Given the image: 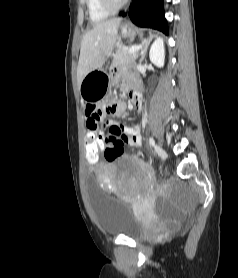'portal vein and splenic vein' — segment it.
<instances>
[{
  "instance_id": "obj_1",
  "label": "portal vein and splenic vein",
  "mask_w": 238,
  "mask_h": 278,
  "mask_svg": "<svg viewBox=\"0 0 238 278\" xmlns=\"http://www.w3.org/2000/svg\"><path fill=\"white\" fill-rule=\"evenodd\" d=\"M141 45H134V46H131L130 48H129V54H132V53H134V52H136V51H139L140 49H141Z\"/></svg>"
}]
</instances>
